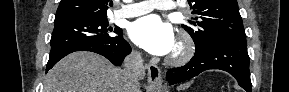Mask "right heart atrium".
<instances>
[{"instance_id": "right-heart-atrium-1", "label": "right heart atrium", "mask_w": 289, "mask_h": 92, "mask_svg": "<svg viewBox=\"0 0 289 92\" xmlns=\"http://www.w3.org/2000/svg\"><path fill=\"white\" fill-rule=\"evenodd\" d=\"M131 56H132L133 58H135V59H139V58H140V52H139L138 50H136V49H133V50L131 51Z\"/></svg>"}]
</instances>
